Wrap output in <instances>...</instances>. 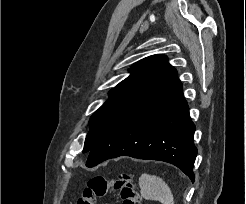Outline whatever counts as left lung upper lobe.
<instances>
[{
    "label": "left lung upper lobe",
    "instance_id": "obj_1",
    "mask_svg": "<svg viewBox=\"0 0 246 204\" xmlns=\"http://www.w3.org/2000/svg\"><path fill=\"white\" fill-rule=\"evenodd\" d=\"M131 74L110 92V98L91 116L83 152H89L100 136L131 109L177 78L164 55H152L135 63Z\"/></svg>",
    "mask_w": 246,
    "mask_h": 204
}]
</instances>
